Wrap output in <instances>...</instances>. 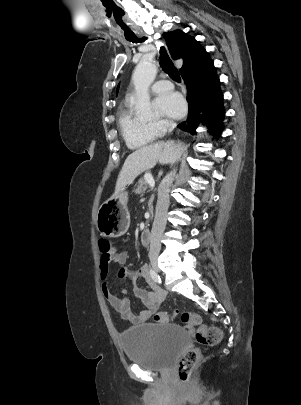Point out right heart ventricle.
<instances>
[{
	"label": "right heart ventricle",
	"mask_w": 301,
	"mask_h": 405,
	"mask_svg": "<svg viewBox=\"0 0 301 405\" xmlns=\"http://www.w3.org/2000/svg\"><path fill=\"white\" fill-rule=\"evenodd\" d=\"M118 124L121 134L130 149H138L151 143L156 134L150 124L138 119L131 108V103H127L120 111Z\"/></svg>",
	"instance_id": "right-heart-ventricle-1"
}]
</instances>
